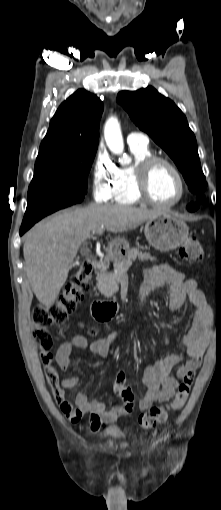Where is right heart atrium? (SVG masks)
Returning a JSON list of instances; mask_svg holds the SVG:
<instances>
[{
    "instance_id": "right-heart-atrium-1",
    "label": "right heart atrium",
    "mask_w": 221,
    "mask_h": 510,
    "mask_svg": "<svg viewBox=\"0 0 221 510\" xmlns=\"http://www.w3.org/2000/svg\"><path fill=\"white\" fill-rule=\"evenodd\" d=\"M116 180V167L106 154L99 148L92 166V192L97 202L106 203L112 199Z\"/></svg>"
}]
</instances>
